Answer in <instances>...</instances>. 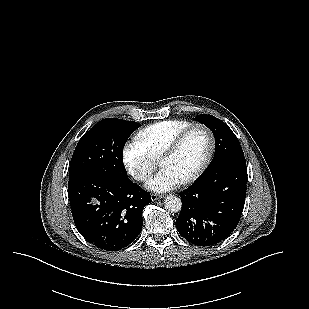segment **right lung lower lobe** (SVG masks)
<instances>
[{"instance_id":"1","label":"right lung lower lobe","mask_w":309,"mask_h":309,"mask_svg":"<svg viewBox=\"0 0 309 309\" xmlns=\"http://www.w3.org/2000/svg\"><path fill=\"white\" fill-rule=\"evenodd\" d=\"M74 223L91 244L118 251L139 235L142 211L150 194L130 179L119 181L99 173H86L68 182Z\"/></svg>"}]
</instances>
